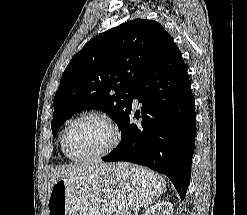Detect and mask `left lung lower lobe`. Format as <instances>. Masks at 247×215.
Here are the masks:
<instances>
[{
  "instance_id": "left-lung-lower-lobe-1",
  "label": "left lung lower lobe",
  "mask_w": 247,
  "mask_h": 215,
  "mask_svg": "<svg viewBox=\"0 0 247 215\" xmlns=\"http://www.w3.org/2000/svg\"><path fill=\"white\" fill-rule=\"evenodd\" d=\"M134 98L143 105L134 115H141L142 122L133 123L131 107L120 126V144L103 161H127L165 174L183 200L191 177L196 114L187 68L173 40L140 81Z\"/></svg>"
}]
</instances>
